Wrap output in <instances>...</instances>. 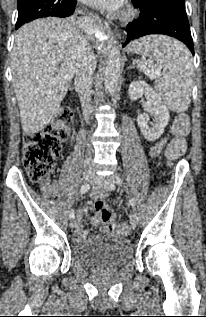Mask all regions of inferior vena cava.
<instances>
[{"mask_svg":"<svg viewBox=\"0 0 206 317\" xmlns=\"http://www.w3.org/2000/svg\"><path fill=\"white\" fill-rule=\"evenodd\" d=\"M75 58L77 62L75 86L80 98L83 114L87 120V116L91 113L90 89L96 68V60L92 48L83 37L79 40ZM88 156L85 160L86 166L92 165L90 152H88Z\"/></svg>","mask_w":206,"mask_h":317,"instance_id":"1","label":"inferior vena cava"}]
</instances>
